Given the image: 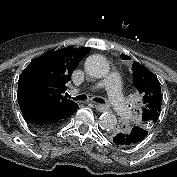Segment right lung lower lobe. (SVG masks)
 I'll list each match as a JSON object with an SVG mask.
<instances>
[{
  "instance_id": "right-lung-lower-lobe-1",
  "label": "right lung lower lobe",
  "mask_w": 177,
  "mask_h": 177,
  "mask_svg": "<svg viewBox=\"0 0 177 177\" xmlns=\"http://www.w3.org/2000/svg\"><path fill=\"white\" fill-rule=\"evenodd\" d=\"M79 108L76 105L69 111L49 110L44 107H31L28 105L20 106L21 112L26 118L27 122L36 130L50 131L63 125Z\"/></svg>"
}]
</instances>
